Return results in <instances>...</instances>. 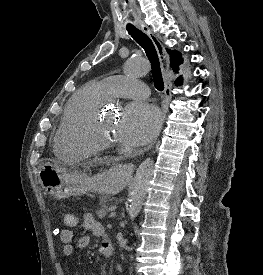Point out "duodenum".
Wrapping results in <instances>:
<instances>
[{
    "instance_id": "duodenum-1",
    "label": "duodenum",
    "mask_w": 263,
    "mask_h": 275,
    "mask_svg": "<svg viewBox=\"0 0 263 275\" xmlns=\"http://www.w3.org/2000/svg\"><path fill=\"white\" fill-rule=\"evenodd\" d=\"M112 254V248L109 246L108 250L106 251L105 255L110 256Z\"/></svg>"
}]
</instances>
